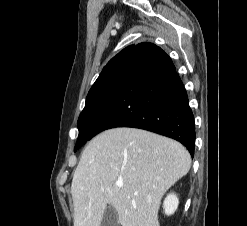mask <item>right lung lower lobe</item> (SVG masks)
Masks as SVG:
<instances>
[{"instance_id": "98d812e1", "label": "right lung lower lobe", "mask_w": 247, "mask_h": 226, "mask_svg": "<svg viewBox=\"0 0 247 226\" xmlns=\"http://www.w3.org/2000/svg\"><path fill=\"white\" fill-rule=\"evenodd\" d=\"M115 127L152 131L181 142L194 155L195 124L171 58L152 43L131 51L92 137Z\"/></svg>"}]
</instances>
